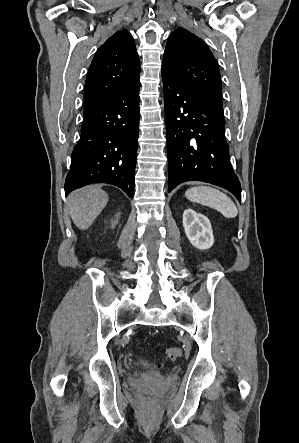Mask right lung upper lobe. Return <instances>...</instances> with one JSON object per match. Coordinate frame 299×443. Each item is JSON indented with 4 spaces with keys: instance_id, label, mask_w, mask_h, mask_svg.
Returning a JSON list of instances; mask_svg holds the SVG:
<instances>
[{
    "instance_id": "1",
    "label": "right lung upper lobe",
    "mask_w": 299,
    "mask_h": 443,
    "mask_svg": "<svg viewBox=\"0 0 299 443\" xmlns=\"http://www.w3.org/2000/svg\"><path fill=\"white\" fill-rule=\"evenodd\" d=\"M140 62L127 30L113 34L98 49L85 82L84 112L90 111L139 82Z\"/></svg>"
}]
</instances>
